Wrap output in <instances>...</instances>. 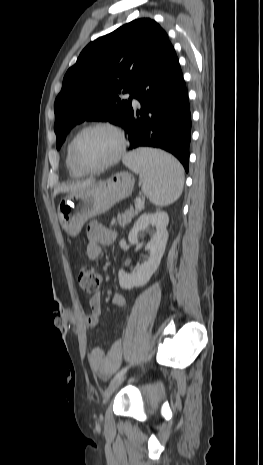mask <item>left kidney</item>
Segmentation results:
<instances>
[{
	"label": "left kidney",
	"instance_id": "5707ae66",
	"mask_svg": "<svg viewBox=\"0 0 263 465\" xmlns=\"http://www.w3.org/2000/svg\"><path fill=\"white\" fill-rule=\"evenodd\" d=\"M168 222L169 218L166 212L143 214L138 218L128 236L130 243L136 244L139 233L149 226H154L156 230L146 245V249L149 251L148 258L143 263L138 264L130 274L122 269L119 270L118 278L122 289L130 290L133 287L145 285L158 269L168 239L166 229Z\"/></svg>",
	"mask_w": 263,
	"mask_h": 465
}]
</instances>
